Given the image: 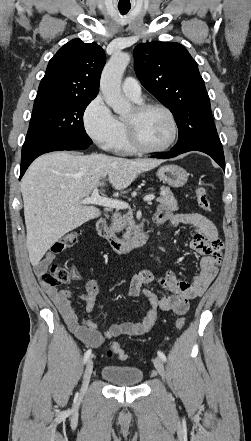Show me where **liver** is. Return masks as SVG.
<instances>
[{
  "label": "liver",
  "instance_id": "liver-1",
  "mask_svg": "<svg viewBox=\"0 0 251 441\" xmlns=\"http://www.w3.org/2000/svg\"><path fill=\"white\" fill-rule=\"evenodd\" d=\"M163 160L126 159L104 154L52 152L38 157L21 182L26 244L36 266L48 249L66 233L101 215L98 208L81 203L107 175L116 190Z\"/></svg>",
  "mask_w": 251,
  "mask_h": 441
}]
</instances>
